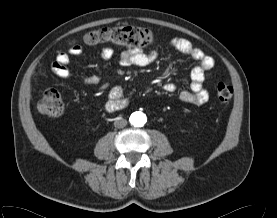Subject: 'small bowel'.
<instances>
[{"mask_svg": "<svg viewBox=\"0 0 277 218\" xmlns=\"http://www.w3.org/2000/svg\"><path fill=\"white\" fill-rule=\"evenodd\" d=\"M169 44L177 51L199 62V65L191 72L190 90L181 92L180 99L183 102L195 105L206 103L209 99V94L203 87V83L208 73L214 67L213 58L206 55L203 50L194 47L184 38L173 37L169 40ZM82 54L83 48L79 45L72 46L68 52L59 53L51 64L52 72L61 78H69L71 76L69 68L71 57H79ZM157 56L158 53L156 50H152L149 53L127 50L120 55L119 64L121 66H146L153 63L157 59ZM99 57L102 61H109L114 57V51L110 47H105L101 50ZM84 83L90 86L97 85L99 83V77L96 75L87 76L84 78ZM164 89L172 92L176 89V85L174 83H168L164 86ZM123 94L124 91L121 87H114L110 93L112 98H120Z\"/></svg>", "mask_w": 277, "mask_h": 218, "instance_id": "small-bowel-1", "label": "small bowel"}]
</instances>
